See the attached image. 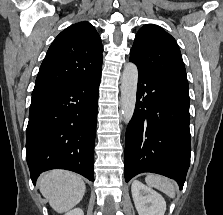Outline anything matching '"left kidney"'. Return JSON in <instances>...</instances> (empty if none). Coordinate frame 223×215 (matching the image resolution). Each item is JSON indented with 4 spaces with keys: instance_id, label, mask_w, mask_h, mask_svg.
Returning <instances> with one entry per match:
<instances>
[{
    "instance_id": "1",
    "label": "left kidney",
    "mask_w": 223,
    "mask_h": 215,
    "mask_svg": "<svg viewBox=\"0 0 223 215\" xmlns=\"http://www.w3.org/2000/svg\"><path fill=\"white\" fill-rule=\"evenodd\" d=\"M132 197L139 215H164L166 201L160 193L147 187L138 179L131 185Z\"/></svg>"
}]
</instances>
